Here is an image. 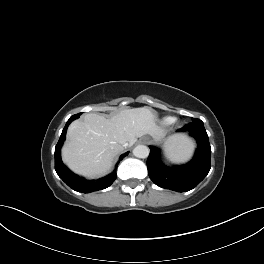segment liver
Segmentation results:
<instances>
[{"mask_svg":"<svg viewBox=\"0 0 264 264\" xmlns=\"http://www.w3.org/2000/svg\"><path fill=\"white\" fill-rule=\"evenodd\" d=\"M144 135L156 141L163 136L155 115L146 107L126 109L110 119L89 113L69 126L62 159L75 173L100 176L110 170L114 157L124 147L132 146ZM177 138L173 137L169 143Z\"/></svg>","mask_w":264,"mask_h":264,"instance_id":"obj_1","label":"liver"}]
</instances>
